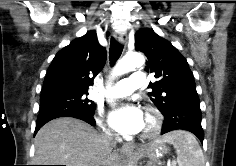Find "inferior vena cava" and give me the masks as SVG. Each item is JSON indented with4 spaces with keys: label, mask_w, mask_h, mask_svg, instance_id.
Returning a JSON list of instances; mask_svg holds the SVG:
<instances>
[{
    "label": "inferior vena cava",
    "mask_w": 236,
    "mask_h": 166,
    "mask_svg": "<svg viewBox=\"0 0 236 166\" xmlns=\"http://www.w3.org/2000/svg\"><path fill=\"white\" fill-rule=\"evenodd\" d=\"M102 136L105 142L106 149L111 152L112 149L116 146L117 137L110 132H105Z\"/></svg>",
    "instance_id": "inferior-vena-cava-1"
}]
</instances>
